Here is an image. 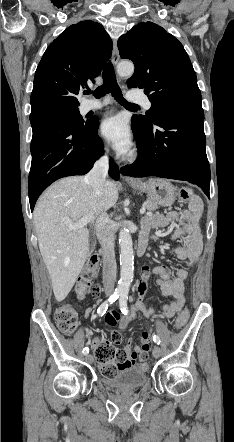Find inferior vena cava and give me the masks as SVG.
Masks as SVG:
<instances>
[{
  "mask_svg": "<svg viewBox=\"0 0 234 442\" xmlns=\"http://www.w3.org/2000/svg\"><path fill=\"white\" fill-rule=\"evenodd\" d=\"M108 169V156L104 155L95 162L93 168L85 176V181L93 187L96 193H99L104 186ZM96 234L102 247L103 285L105 294L110 295L114 290L117 265L114 251V230L111 225V220L106 213H102L96 220Z\"/></svg>",
  "mask_w": 234,
  "mask_h": 442,
  "instance_id": "1",
  "label": "inferior vena cava"
}]
</instances>
